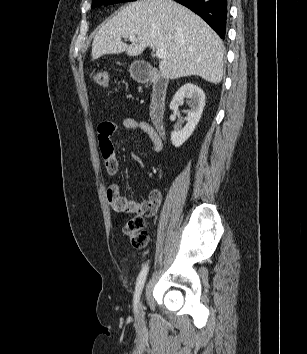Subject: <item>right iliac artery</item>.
<instances>
[{
    "label": "right iliac artery",
    "instance_id": "82829eb1",
    "mask_svg": "<svg viewBox=\"0 0 307 354\" xmlns=\"http://www.w3.org/2000/svg\"><path fill=\"white\" fill-rule=\"evenodd\" d=\"M148 266L143 267L140 274L137 278L136 289L134 294V311L137 312V303L139 302V298L144 287L145 279L148 273Z\"/></svg>",
    "mask_w": 307,
    "mask_h": 354
}]
</instances>
